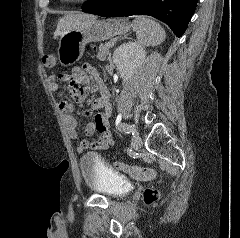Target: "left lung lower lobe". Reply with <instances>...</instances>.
<instances>
[{
	"instance_id": "1",
	"label": "left lung lower lobe",
	"mask_w": 240,
	"mask_h": 238,
	"mask_svg": "<svg viewBox=\"0 0 240 238\" xmlns=\"http://www.w3.org/2000/svg\"><path fill=\"white\" fill-rule=\"evenodd\" d=\"M198 0H100L85 9L102 17L153 16L165 22L177 37L185 32Z\"/></svg>"
}]
</instances>
